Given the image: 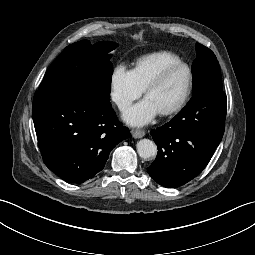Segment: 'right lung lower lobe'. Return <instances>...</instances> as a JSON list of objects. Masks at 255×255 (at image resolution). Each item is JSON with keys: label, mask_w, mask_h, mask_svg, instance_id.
I'll return each instance as SVG.
<instances>
[{"label": "right lung lower lobe", "mask_w": 255, "mask_h": 255, "mask_svg": "<svg viewBox=\"0 0 255 255\" xmlns=\"http://www.w3.org/2000/svg\"><path fill=\"white\" fill-rule=\"evenodd\" d=\"M32 112L44 163L71 183L100 172L110 151L130 136L110 101L74 89L38 90Z\"/></svg>", "instance_id": "98d812e1"}]
</instances>
